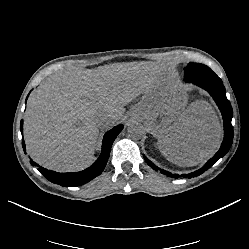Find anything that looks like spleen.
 <instances>
[{
	"instance_id": "3e777b00",
	"label": "spleen",
	"mask_w": 249,
	"mask_h": 249,
	"mask_svg": "<svg viewBox=\"0 0 249 249\" xmlns=\"http://www.w3.org/2000/svg\"><path fill=\"white\" fill-rule=\"evenodd\" d=\"M159 149H160V151H161L165 156H168V157L171 156V154H170V148H169V147H167V146H165V147L159 146Z\"/></svg>"
}]
</instances>
